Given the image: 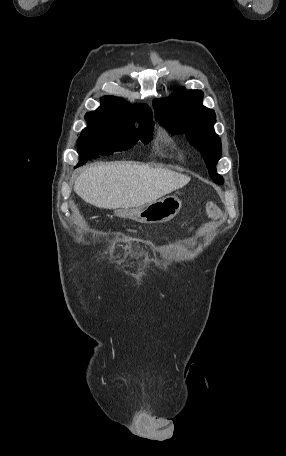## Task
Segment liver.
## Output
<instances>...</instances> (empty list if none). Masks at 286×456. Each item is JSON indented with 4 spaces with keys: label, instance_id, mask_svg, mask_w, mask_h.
I'll use <instances>...</instances> for the list:
<instances>
[{
    "label": "liver",
    "instance_id": "1",
    "mask_svg": "<svg viewBox=\"0 0 286 456\" xmlns=\"http://www.w3.org/2000/svg\"><path fill=\"white\" fill-rule=\"evenodd\" d=\"M170 169L122 162L97 164L77 178L74 191L86 203L105 209L141 207L189 183Z\"/></svg>",
    "mask_w": 286,
    "mask_h": 456
}]
</instances>
